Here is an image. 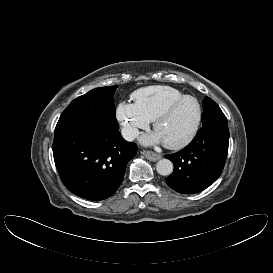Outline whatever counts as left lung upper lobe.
<instances>
[{
  "label": "left lung upper lobe",
  "mask_w": 273,
  "mask_h": 273,
  "mask_svg": "<svg viewBox=\"0 0 273 273\" xmlns=\"http://www.w3.org/2000/svg\"><path fill=\"white\" fill-rule=\"evenodd\" d=\"M202 128H209L218 125H227V118L220 107L211 98L205 97L203 100Z\"/></svg>",
  "instance_id": "left-lung-upper-lobe-1"
}]
</instances>
